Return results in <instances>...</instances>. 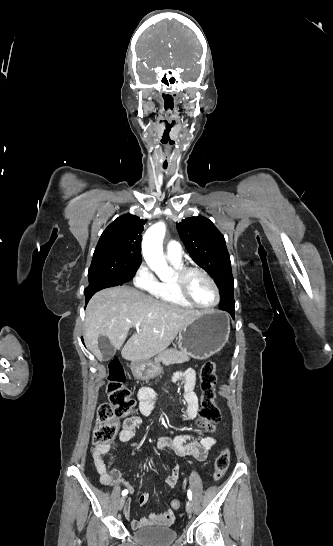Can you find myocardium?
Returning <instances> with one entry per match:
<instances>
[{
  "label": "myocardium",
  "instance_id": "obj_1",
  "mask_svg": "<svg viewBox=\"0 0 333 546\" xmlns=\"http://www.w3.org/2000/svg\"><path fill=\"white\" fill-rule=\"evenodd\" d=\"M193 272H197V273H200L201 275H203L209 281V283L212 285V287H213V289L215 291V295H216V299L212 304H210V305L200 304V303L196 302L191 297V295L189 294L188 289H187V278ZM174 283H175V287H176V290H177V293L179 294V296L183 300H185L187 303H189L190 305H192L194 307L201 308V309H212V308L216 307L220 302L221 295H220V290H219V287H218L216 281L213 279V277L207 271H205L204 269H202L200 267L186 266V267L180 268L179 270L176 271V274H175V277H174Z\"/></svg>",
  "mask_w": 333,
  "mask_h": 546
}]
</instances>
